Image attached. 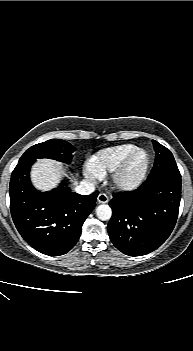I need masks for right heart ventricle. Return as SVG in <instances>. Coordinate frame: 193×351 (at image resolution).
<instances>
[{
	"label": "right heart ventricle",
	"instance_id": "1",
	"mask_svg": "<svg viewBox=\"0 0 193 351\" xmlns=\"http://www.w3.org/2000/svg\"><path fill=\"white\" fill-rule=\"evenodd\" d=\"M107 156H108V159H107ZM118 156H119V153H117V151H116V153H115V151H114V153H113V151L112 152L110 151V153L106 154V159L104 157L103 162L107 163V162H111V161H116L118 159Z\"/></svg>",
	"mask_w": 193,
	"mask_h": 351
}]
</instances>
